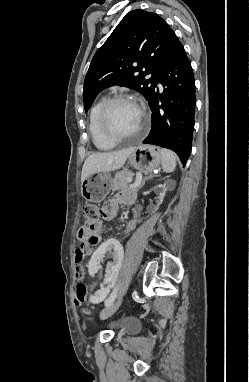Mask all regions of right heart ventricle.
Segmentation results:
<instances>
[{"mask_svg": "<svg viewBox=\"0 0 249 382\" xmlns=\"http://www.w3.org/2000/svg\"><path fill=\"white\" fill-rule=\"evenodd\" d=\"M106 99H99L91 108L89 114V132L92 137L93 143L99 150H110L115 147L116 143L107 139L99 125V114L100 110L105 103Z\"/></svg>", "mask_w": 249, "mask_h": 382, "instance_id": "obj_1", "label": "right heart ventricle"}]
</instances>
